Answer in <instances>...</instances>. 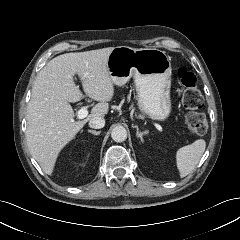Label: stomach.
<instances>
[{
    "instance_id": "0dacf381",
    "label": "stomach",
    "mask_w": 240,
    "mask_h": 240,
    "mask_svg": "<svg viewBox=\"0 0 240 240\" xmlns=\"http://www.w3.org/2000/svg\"><path fill=\"white\" fill-rule=\"evenodd\" d=\"M171 59L156 48L115 47L107 67L115 85L122 86L131 78L137 92L139 110L155 120L166 119L171 112Z\"/></svg>"
}]
</instances>
